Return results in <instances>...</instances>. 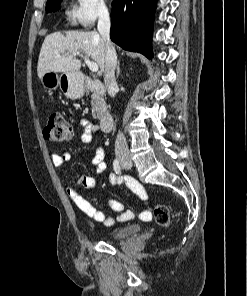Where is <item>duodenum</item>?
<instances>
[{"mask_svg":"<svg viewBox=\"0 0 247 296\" xmlns=\"http://www.w3.org/2000/svg\"><path fill=\"white\" fill-rule=\"evenodd\" d=\"M86 88L96 97H102L106 93L105 85L102 81L96 79H87ZM100 126L104 132L111 129L113 124V116L109 112H102L99 116Z\"/></svg>","mask_w":247,"mask_h":296,"instance_id":"obj_1","label":"duodenum"}]
</instances>
